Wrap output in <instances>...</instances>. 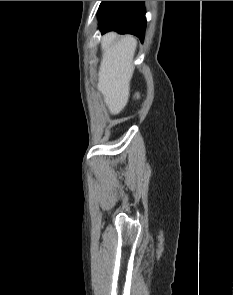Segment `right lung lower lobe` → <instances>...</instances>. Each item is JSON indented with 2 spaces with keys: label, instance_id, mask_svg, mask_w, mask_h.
Listing matches in <instances>:
<instances>
[{
  "label": "right lung lower lobe",
  "instance_id": "right-lung-lower-lobe-1",
  "mask_svg": "<svg viewBox=\"0 0 233 295\" xmlns=\"http://www.w3.org/2000/svg\"><path fill=\"white\" fill-rule=\"evenodd\" d=\"M99 29L133 34L144 39L146 18L144 1H102L98 11Z\"/></svg>",
  "mask_w": 233,
  "mask_h": 295
}]
</instances>
